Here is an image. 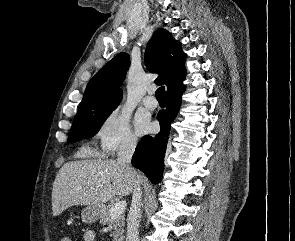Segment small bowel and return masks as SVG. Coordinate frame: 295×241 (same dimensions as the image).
I'll return each instance as SVG.
<instances>
[{
    "instance_id": "obj_1",
    "label": "small bowel",
    "mask_w": 295,
    "mask_h": 241,
    "mask_svg": "<svg viewBox=\"0 0 295 241\" xmlns=\"http://www.w3.org/2000/svg\"><path fill=\"white\" fill-rule=\"evenodd\" d=\"M96 233L94 230H86L83 233L82 241H95ZM60 241H71L69 237H63Z\"/></svg>"
}]
</instances>
